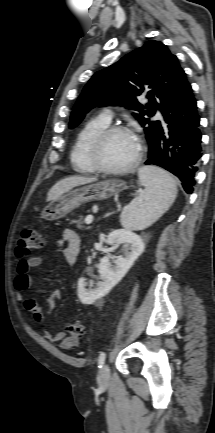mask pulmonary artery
Wrapping results in <instances>:
<instances>
[{
  "mask_svg": "<svg viewBox=\"0 0 215 433\" xmlns=\"http://www.w3.org/2000/svg\"><path fill=\"white\" fill-rule=\"evenodd\" d=\"M102 116L105 117L107 120L110 121L112 119V112H111V110L110 109H106L103 112ZM156 118L158 120H160L162 122V124L165 126V123H164V120H163V116L161 114H159V113L156 114Z\"/></svg>",
  "mask_w": 215,
  "mask_h": 433,
  "instance_id": "pulmonary-artery-1",
  "label": "pulmonary artery"
}]
</instances>
